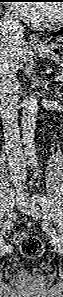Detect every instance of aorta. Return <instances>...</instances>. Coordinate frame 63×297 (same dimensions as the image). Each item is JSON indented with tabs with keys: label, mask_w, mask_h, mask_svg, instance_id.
I'll return each instance as SVG.
<instances>
[{
	"label": "aorta",
	"mask_w": 63,
	"mask_h": 297,
	"mask_svg": "<svg viewBox=\"0 0 63 297\" xmlns=\"http://www.w3.org/2000/svg\"><path fill=\"white\" fill-rule=\"evenodd\" d=\"M38 118V102L36 97L30 96L23 102L22 110V134L25 143V153L31 160L36 158L35 155V127Z\"/></svg>",
	"instance_id": "1"
}]
</instances>
